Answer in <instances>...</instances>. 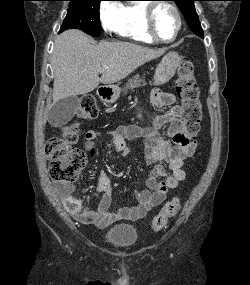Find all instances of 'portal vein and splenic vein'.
I'll return each mask as SVG.
<instances>
[{
  "instance_id": "obj_1",
  "label": "portal vein and splenic vein",
  "mask_w": 250,
  "mask_h": 285,
  "mask_svg": "<svg viewBox=\"0 0 250 285\" xmlns=\"http://www.w3.org/2000/svg\"><path fill=\"white\" fill-rule=\"evenodd\" d=\"M106 69H107V67H106V68H102V69L100 70V73H103Z\"/></svg>"
}]
</instances>
